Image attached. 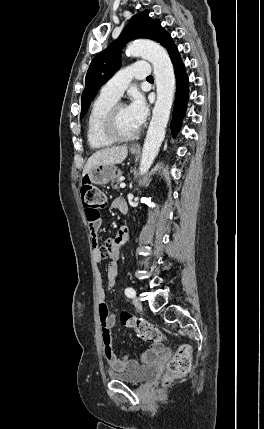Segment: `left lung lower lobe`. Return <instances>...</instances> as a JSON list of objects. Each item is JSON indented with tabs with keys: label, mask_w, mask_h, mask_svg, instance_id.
Listing matches in <instances>:
<instances>
[{
	"label": "left lung lower lobe",
	"mask_w": 264,
	"mask_h": 429,
	"mask_svg": "<svg viewBox=\"0 0 264 429\" xmlns=\"http://www.w3.org/2000/svg\"><path fill=\"white\" fill-rule=\"evenodd\" d=\"M160 44L167 49L174 66V72L176 76V97L173 108V118L171 122L172 134L175 137L180 130L182 119L186 113V107L189 98V82L178 50L168 33L163 36Z\"/></svg>",
	"instance_id": "1"
}]
</instances>
